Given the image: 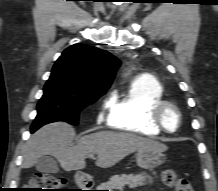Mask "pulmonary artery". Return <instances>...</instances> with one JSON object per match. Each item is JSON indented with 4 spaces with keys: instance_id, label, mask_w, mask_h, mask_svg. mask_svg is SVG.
Segmentation results:
<instances>
[{
    "instance_id": "1",
    "label": "pulmonary artery",
    "mask_w": 218,
    "mask_h": 191,
    "mask_svg": "<svg viewBox=\"0 0 218 191\" xmlns=\"http://www.w3.org/2000/svg\"><path fill=\"white\" fill-rule=\"evenodd\" d=\"M141 77H142V78H150L151 75H150L149 73H142V74H141Z\"/></svg>"
}]
</instances>
